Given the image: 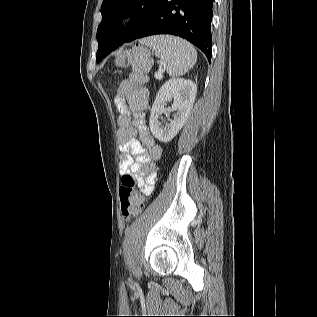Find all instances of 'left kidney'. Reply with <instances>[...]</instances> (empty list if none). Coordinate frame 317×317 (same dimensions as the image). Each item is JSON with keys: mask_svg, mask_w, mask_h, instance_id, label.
<instances>
[{"mask_svg": "<svg viewBox=\"0 0 317 317\" xmlns=\"http://www.w3.org/2000/svg\"><path fill=\"white\" fill-rule=\"evenodd\" d=\"M196 93L197 86L190 79H171L160 88L149 119L150 130L155 138L166 143L177 135L191 112ZM171 99L174 101L172 110H176L177 113L163 126L158 118L161 114L169 112L164 106Z\"/></svg>", "mask_w": 317, "mask_h": 317, "instance_id": "1", "label": "left kidney"}]
</instances>
